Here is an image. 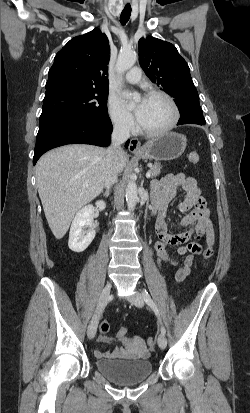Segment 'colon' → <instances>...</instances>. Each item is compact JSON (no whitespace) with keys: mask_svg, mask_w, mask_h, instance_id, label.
I'll use <instances>...</instances> for the list:
<instances>
[{"mask_svg":"<svg viewBox=\"0 0 250 413\" xmlns=\"http://www.w3.org/2000/svg\"><path fill=\"white\" fill-rule=\"evenodd\" d=\"M188 161L192 164H196L199 161V156L197 153H190L188 156ZM213 255V246L211 244H206L205 249L203 250V258L205 261L209 260ZM99 330L102 334H105L109 330V323L106 320H103L100 325H99ZM127 333L128 330L126 329V326H123V323H118V329H117V339H126L127 338ZM147 344L150 348H153L155 346V339L150 337L147 339Z\"/></svg>","mask_w":250,"mask_h":413,"instance_id":"obj_1","label":"colon"}]
</instances>
